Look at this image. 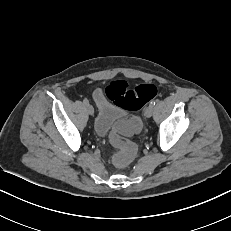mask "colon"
Listing matches in <instances>:
<instances>
[{
    "label": "colon",
    "mask_w": 231,
    "mask_h": 231,
    "mask_svg": "<svg viewBox=\"0 0 231 231\" xmlns=\"http://www.w3.org/2000/svg\"><path fill=\"white\" fill-rule=\"evenodd\" d=\"M106 95L116 106L127 111H137L158 95V88L152 83L131 87L127 81L119 79L107 86ZM111 142L117 148L112 157L116 166L123 167L134 159L136 147L131 141L115 132Z\"/></svg>",
    "instance_id": "5ec220e1"
}]
</instances>
